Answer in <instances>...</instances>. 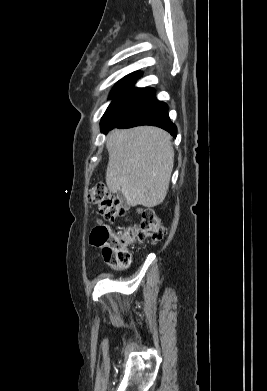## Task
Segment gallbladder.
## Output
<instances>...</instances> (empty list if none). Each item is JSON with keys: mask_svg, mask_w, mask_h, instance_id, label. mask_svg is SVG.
Segmentation results:
<instances>
[{"mask_svg": "<svg viewBox=\"0 0 267 391\" xmlns=\"http://www.w3.org/2000/svg\"><path fill=\"white\" fill-rule=\"evenodd\" d=\"M117 197L121 200V201H125V198H124V195H123V193L121 192V191H119L118 193H117Z\"/></svg>", "mask_w": 267, "mask_h": 391, "instance_id": "bac80fb5", "label": "gallbladder"}]
</instances>
